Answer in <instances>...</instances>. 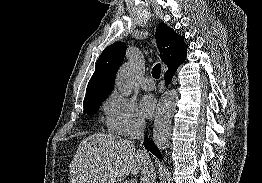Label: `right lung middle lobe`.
Here are the masks:
<instances>
[{"label": "right lung middle lobe", "mask_w": 262, "mask_h": 183, "mask_svg": "<svg viewBox=\"0 0 262 183\" xmlns=\"http://www.w3.org/2000/svg\"><path fill=\"white\" fill-rule=\"evenodd\" d=\"M106 98L96 99L92 101H85L83 102V113L84 114H95L101 105V102L104 101Z\"/></svg>", "instance_id": "1"}]
</instances>
